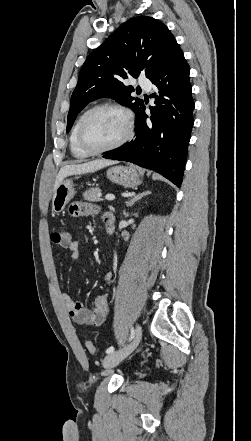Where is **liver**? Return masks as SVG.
Segmentation results:
<instances>
[{"label":"liver","instance_id":"6515ba94","mask_svg":"<svg viewBox=\"0 0 251 441\" xmlns=\"http://www.w3.org/2000/svg\"><path fill=\"white\" fill-rule=\"evenodd\" d=\"M115 163H116L115 161H111V160L97 159L81 164L65 165L60 169L56 177L54 184V191L59 186V184L68 176L93 173L95 171H98L109 165H113Z\"/></svg>","mask_w":251,"mask_h":441}]
</instances>
